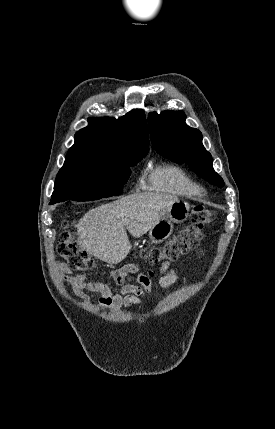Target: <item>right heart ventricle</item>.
<instances>
[{"instance_id":"obj_1","label":"right heart ventricle","mask_w":275,"mask_h":429,"mask_svg":"<svg viewBox=\"0 0 275 429\" xmlns=\"http://www.w3.org/2000/svg\"><path fill=\"white\" fill-rule=\"evenodd\" d=\"M150 190L185 196H201L203 188L181 167L162 164L153 167L146 181Z\"/></svg>"}]
</instances>
